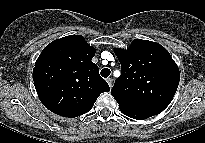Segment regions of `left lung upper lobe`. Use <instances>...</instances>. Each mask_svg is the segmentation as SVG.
I'll return each mask as SVG.
<instances>
[{
	"label": "left lung upper lobe",
	"instance_id": "1",
	"mask_svg": "<svg viewBox=\"0 0 205 143\" xmlns=\"http://www.w3.org/2000/svg\"><path fill=\"white\" fill-rule=\"evenodd\" d=\"M121 76L111 94L122 111H163L179 85L178 66L160 44L135 39L127 50L115 49Z\"/></svg>",
	"mask_w": 205,
	"mask_h": 143
}]
</instances>
